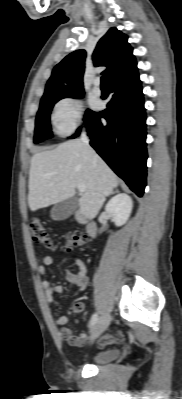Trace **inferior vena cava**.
Instances as JSON below:
<instances>
[{"label": "inferior vena cava", "mask_w": 182, "mask_h": 399, "mask_svg": "<svg viewBox=\"0 0 182 399\" xmlns=\"http://www.w3.org/2000/svg\"><path fill=\"white\" fill-rule=\"evenodd\" d=\"M81 141H82L84 144H86V145L89 146V138H88V136L86 135V132H85V131H83L82 134H81Z\"/></svg>", "instance_id": "602c4592"}]
</instances>
